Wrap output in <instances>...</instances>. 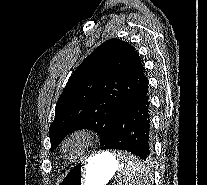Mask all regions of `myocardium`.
<instances>
[{
    "instance_id": "myocardium-1",
    "label": "myocardium",
    "mask_w": 207,
    "mask_h": 185,
    "mask_svg": "<svg viewBox=\"0 0 207 185\" xmlns=\"http://www.w3.org/2000/svg\"><path fill=\"white\" fill-rule=\"evenodd\" d=\"M73 140H81L82 146L77 153L71 157H67L64 153L65 145ZM97 137L96 134L89 128H77L71 131L66 137L63 138L59 145L60 156L69 162L78 161L86 157L90 152H92L94 146L96 145Z\"/></svg>"
}]
</instances>
